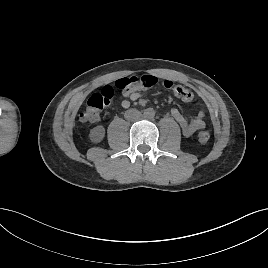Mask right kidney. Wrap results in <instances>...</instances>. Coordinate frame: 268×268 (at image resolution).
I'll list each match as a JSON object with an SVG mask.
<instances>
[{"instance_id":"obj_1","label":"right kidney","mask_w":268,"mask_h":268,"mask_svg":"<svg viewBox=\"0 0 268 268\" xmlns=\"http://www.w3.org/2000/svg\"><path fill=\"white\" fill-rule=\"evenodd\" d=\"M105 135V129L102 126L94 127L89 134V138L92 142H101Z\"/></svg>"}]
</instances>
